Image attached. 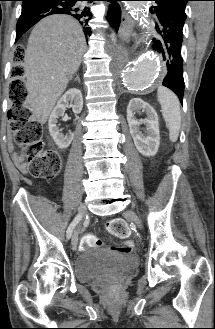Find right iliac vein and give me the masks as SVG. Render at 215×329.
<instances>
[{"label": "right iliac vein", "instance_id": "63e3f726", "mask_svg": "<svg viewBox=\"0 0 215 329\" xmlns=\"http://www.w3.org/2000/svg\"><path fill=\"white\" fill-rule=\"evenodd\" d=\"M86 214V207L85 205H80L79 209H78V216H80V220L83 218V216ZM71 244L73 249H75L77 247L78 244V231L76 230L72 236L71 239Z\"/></svg>", "mask_w": 215, "mask_h": 329}]
</instances>
